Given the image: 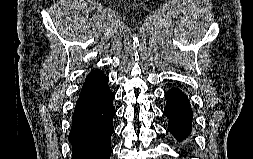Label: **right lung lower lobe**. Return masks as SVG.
<instances>
[{"mask_svg":"<svg viewBox=\"0 0 253 159\" xmlns=\"http://www.w3.org/2000/svg\"><path fill=\"white\" fill-rule=\"evenodd\" d=\"M108 80L99 70L86 77L68 136L72 159H110L115 95L109 89Z\"/></svg>","mask_w":253,"mask_h":159,"instance_id":"1","label":"right lung lower lobe"}]
</instances>
